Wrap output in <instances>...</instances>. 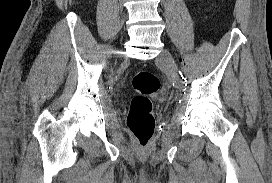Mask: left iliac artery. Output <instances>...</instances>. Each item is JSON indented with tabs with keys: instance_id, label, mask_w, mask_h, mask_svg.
<instances>
[{
	"instance_id": "obj_1",
	"label": "left iliac artery",
	"mask_w": 272,
	"mask_h": 183,
	"mask_svg": "<svg viewBox=\"0 0 272 183\" xmlns=\"http://www.w3.org/2000/svg\"><path fill=\"white\" fill-rule=\"evenodd\" d=\"M179 74L182 76V78H183V75H182V73L179 71Z\"/></svg>"
}]
</instances>
